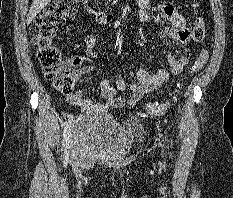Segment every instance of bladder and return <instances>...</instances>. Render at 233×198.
<instances>
[{
    "instance_id": "31cf9c89",
    "label": "bladder",
    "mask_w": 233,
    "mask_h": 198,
    "mask_svg": "<svg viewBox=\"0 0 233 198\" xmlns=\"http://www.w3.org/2000/svg\"><path fill=\"white\" fill-rule=\"evenodd\" d=\"M143 133L138 122L121 123L108 114L85 112L72 121L71 142L83 152L120 156L129 153Z\"/></svg>"
}]
</instances>
